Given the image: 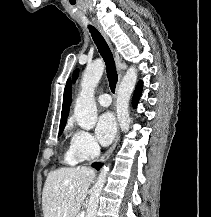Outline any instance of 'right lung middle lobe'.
<instances>
[{
    "instance_id": "obj_1",
    "label": "right lung middle lobe",
    "mask_w": 211,
    "mask_h": 217,
    "mask_svg": "<svg viewBox=\"0 0 211 217\" xmlns=\"http://www.w3.org/2000/svg\"><path fill=\"white\" fill-rule=\"evenodd\" d=\"M63 129H64V128H60V129H59V135H61V133L63 132Z\"/></svg>"
}]
</instances>
